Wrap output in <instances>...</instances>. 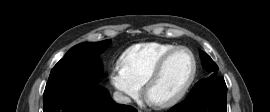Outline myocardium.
Listing matches in <instances>:
<instances>
[{
	"instance_id": "f54148a6",
	"label": "myocardium",
	"mask_w": 270,
	"mask_h": 112,
	"mask_svg": "<svg viewBox=\"0 0 270 112\" xmlns=\"http://www.w3.org/2000/svg\"><path fill=\"white\" fill-rule=\"evenodd\" d=\"M179 51H186L189 53L191 59H192V71L191 74L187 80V82L185 83V85L181 88V90L176 93L175 95H173L172 97L161 101V102H157L156 104L160 107L166 108V107H170L173 106L175 104H177L179 101H181L184 96L188 93V91L190 90L191 86L193 85L196 76H197V59L194 55V53L185 46H177L174 49L170 50L169 52H167L157 63V65L155 66V68L153 69V71L151 72V74L149 75V77L147 78L146 82H145V94L149 97V91L152 87V85L159 79V77L162 75L167 63L169 62V60Z\"/></svg>"
}]
</instances>
